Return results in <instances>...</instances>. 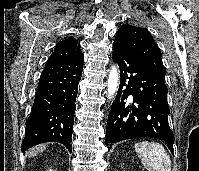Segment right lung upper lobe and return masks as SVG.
I'll return each mask as SVG.
<instances>
[{
	"mask_svg": "<svg viewBox=\"0 0 199 171\" xmlns=\"http://www.w3.org/2000/svg\"><path fill=\"white\" fill-rule=\"evenodd\" d=\"M80 44L73 37L59 42L49 59H72L82 55Z\"/></svg>",
	"mask_w": 199,
	"mask_h": 171,
	"instance_id": "obj_1",
	"label": "right lung upper lobe"
}]
</instances>
